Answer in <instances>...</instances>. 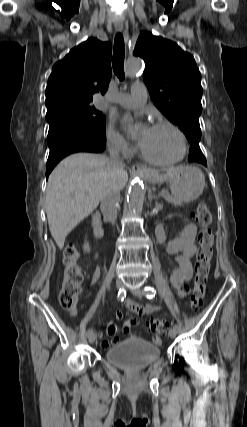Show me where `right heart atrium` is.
Masks as SVG:
<instances>
[{"label": "right heart atrium", "instance_id": "d8ad5b80", "mask_svg": "<svg viewBox=\"0 0 247 427\" xmlns=\"http://www.w3.org/2000/svg\"><path fill=\"white\" fill-rule=\"evenodd\" d=\"M105 141L109 150L122 156L127 157L133 152V147L112 124L106 128Z\"/></svg>", "mask_w": 247, "mask_h": 427}]
</instances>
